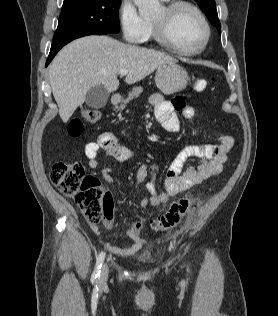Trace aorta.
Returning a JSON list of instances; mask_svg holds the SVG:
<instances>
[{"label":"aorta","mask_w":278,"mask_h":316,"mask_svg":"<svg viewBox=\"0 0 278 316\" xmlns=\"http://www.w3.org/2000/svg\"><path fill=\"white\" fill-rule=\"evenodd\" d=\"M142 17L155 15L160 10L159 0H133Z\"/></svg>","instance_id":"1"}]
</instances>
